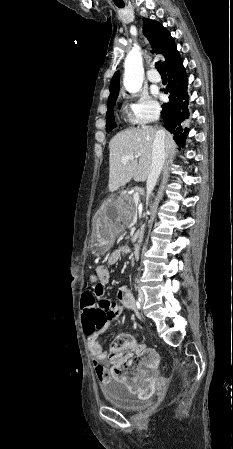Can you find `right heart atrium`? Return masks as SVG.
<instances>
[{
	"instance_id": "obj_1",
	"label": "right heart atrium",
	"mask_w": 233,
	"mask_h": 449,
	"mask_svg": "<svg viewBox=\"0 0 233 449\" xmlns=\"http://www.w3.org/2000/svg\"><path fill=\"white\" fill-rule=\"evenodd\" d=\"M160 113V106L146 92L141 91L133 95L130 105V117L138 124H147L157 119Z\"/></svg>"
}]
</instances>
